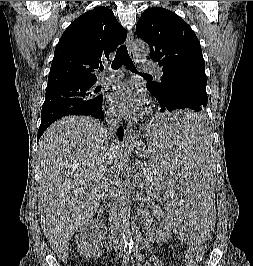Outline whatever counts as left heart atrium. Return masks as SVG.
Here are the masks:
<instances>
[{
  "mask_svg": "<svg viewBox=\"0 0 253 266\" xmlns=\"http://www.w3.org/2000/svg\"><path fill=\"white\" fill-rule=\"evenodd\" d=\"M109 100L122 115L135 117L144 112L145 94L132 82L118 83L109 92Z\"/></svg>",
  "mask_w": 253,
  "mask_h": 266,
  "instance_id": "39dd6f15",
  "label": "left heart atrium"
}]
</instances>
